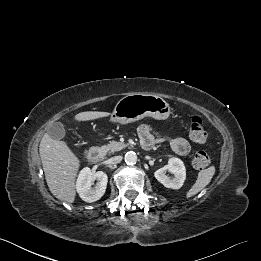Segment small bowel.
Listing matches in <instances>:
<instances>
[{
	"mask_svg": "<svg viewBox=\"0 0 261 261\" xmlns=\"http://www.w3.org/2000/svg\"><path fill=\"white\" fill-rule=\"evenodd\" d=\"M139 135L143 143H147L149 145V147H145V148H150L154 142L156 141V137L155 134L152 130L151 127H149L148 125H142L139 128ZM170 145L172 150L180 155V156H186L190 153L191 151V145L189 144V142L182 138V137H176L170 140Z\"/></svg>",
	"mask_w": 261,
	"mask_h": 261,
	"instance_id": "c3829d8e",
	"label": "small bowel"
}]
</instances>
